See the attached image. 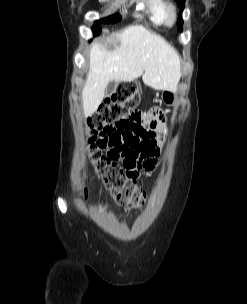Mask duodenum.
I'll return each instance as SVG.
<instances>
[{
    "instance_id": "1",
    "label": "duodenum",
    "mask_w": 247,
    "mask_h": 304,
    "mask_svg": "<svg viewBox=\"0 0 247 304\" xmlns=\"http://www.w3.org/2000/svg\"><path fill=\"white\" fill-rule=\"evenodd\" d=\"M131 84H132V86H134L136 84V81H132Z\"/></svg>"
}]
</instances>
